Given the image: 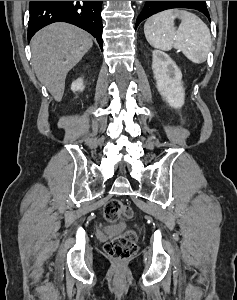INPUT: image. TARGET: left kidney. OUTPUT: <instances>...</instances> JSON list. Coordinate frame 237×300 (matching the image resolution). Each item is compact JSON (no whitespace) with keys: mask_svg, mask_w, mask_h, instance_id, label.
Here are the masks:
<instances>
[{"mask_svg":"<svg viewBox=\"0 0 237 300\" xmlns=\"http://www.w3.org/2000/svg\"><path fill=\"white\" fill-rule=\"evenodd\" d=\"M152 69L162 99L173 109H181L185 101V91L179 67L163 51H153Z\"/></svg>","mask_w":237,"mask_h":300,"instance_id":"1","label":"left kidney"}]
</instances>
